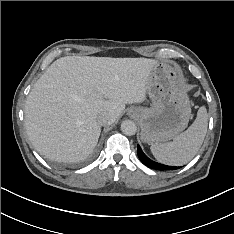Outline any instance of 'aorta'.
Instances as JSON below:
<instances>
[{
  "label": "aorta",
  "instance_id": "obj_1",
  "mask_svg": "<svg viewBox=\"0 0 234 234\" xmlns=\"http://www.w3.org/2000/svg\"><path fill=\"white\" fill-rule=\"evenodd\" d=\"M121 131L128 136L135 135L137 131V126L132 120H124L121 123Z\"/></svg>",
  "mask_w": 234,
  "mask_h": 234
}]
</instances>
